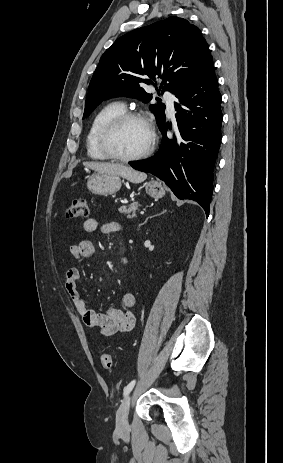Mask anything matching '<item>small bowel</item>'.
<instances>
[{
  "instance_id": "c3829d8e",
  "label": "small bowel",
  "mask_w": 283,
  "mask_h": 463,
  "mask_svg": "<svg viewBox=\"0 0 283 463\" xmlns=\"http://www.w3.org/2000/svg\"><path fill=\"white\" fill-rule=\"evenodd\" d=\"M87 232H95L98 228V222L91 217L85 220L83 224ZM121 231V226L117 222L108 221L102 224L101 232L104 235H111ZM96 247L92 241L85 240L79 244L69 247V255L75 260H84L95 254ZM124 265L128 260L126 257L121 259ZM65 289L73 302L76 310L81 316L85 325L91 328H99L104 336H111L116 333H128L135 326V317L132 308L135 306V295L126 292L121 297V308H110L104 311H96L91 308L87 299L79 292L78 282L80 272L74 266H68L65 273Z\"/></svg>"
}]
</instances>
